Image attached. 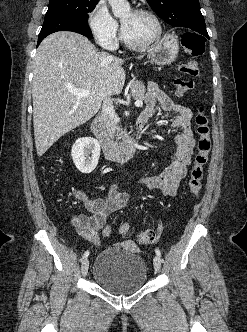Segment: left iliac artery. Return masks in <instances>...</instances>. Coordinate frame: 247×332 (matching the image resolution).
<instances>
[{"instance_id": "left-iliac-artery-1", "label": "left iliac artery", "mask_w": 247, "mask_h": 332, "mask_svg": "<svg viewBox=\"0 0 247 332\" xmlns=\"http://www.w3.org/2000/svg\"><path fill=\"white\" fill-rule=\"evenodd\" d=\"M155 252L159 257H161V251L158 248L155 249Z\"/></svg>"}]
</instances>
